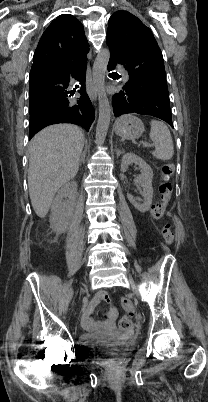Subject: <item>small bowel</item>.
I'll return each instance as SVG.
<instances>
[{
    "label": "small bowel",
    "instance_id": "1",
    "mask_svg": "<svg viewBox=\"0 0 208 402\" xmlns=\"http://www.w3.org/2000/svg\"><path fill=\"white\" fill-rule=\"evenodd\" d=\"M108 295L105 292H96L94 295V299L91 301L90 305L87 309L84 310L83 315L89 321H83L80 324L81 329L83 330H91L95 320L92 318L94 315L93 308L99 303V301L107 300ZM116 310L111 307L104 316V319L101 321V327L104 330H111L113 327L112 322L116 318Z\"/></svg>",
    "mask_w": 208,
    "mask_h": 402
}]
</instances>
